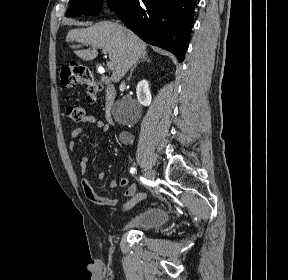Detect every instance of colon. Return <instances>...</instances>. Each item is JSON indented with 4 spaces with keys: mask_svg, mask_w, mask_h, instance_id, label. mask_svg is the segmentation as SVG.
<instances>
[{
    "mask_svg": "<svg viewBox=\"0 0 288 280\" xmlns=\"http://www.w3.org/2000/svg\"><path fill=\"white\" fill-rule=\"evenodd\" d=\"M60 80L64 87L71 88L77 84H85L88 86V101L92 102L96 99L97 94L101 90V86L93 80L90 71L79 64H72L62 68L60 72ZM67 114L74 122H81L85 116V110L81 105H69ZM144 198L143 194H138L136 199L129 202L127 207H130L133 202H138Z\"/></svg>",
    "mask_w": 288,
    "mask_h": 280,
    "instance_id": "colon-1",
    "label": "colon"
}]
</instances>
